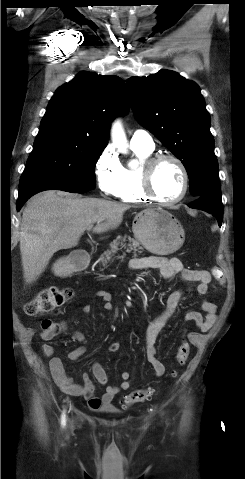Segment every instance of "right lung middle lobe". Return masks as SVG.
I'll return each mask as SVG.
<instances>
[{
    "instance_id": "dd1d6c3e",
    "label": "right lung middle lobe",
    "mask_w": 245,
    "mask_h": 479,
    "mask_svg": "<svg viewBox=\"0 0 245 479\" xmlns=\"http://www.w3.org/2000/svg\"><path fill=\"white\" fill-rule=\"evenodd\" d=\"M104 148L66 131L39 130L19 188L51 181L93 190L95 165Z\"/></svg>"
}]
</instances>
